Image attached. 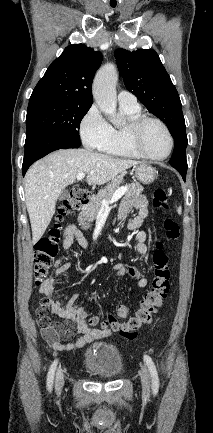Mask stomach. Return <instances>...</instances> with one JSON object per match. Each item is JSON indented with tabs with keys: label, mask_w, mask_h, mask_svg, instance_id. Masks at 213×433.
Here are the masks:
<instances>
[{
	"label": "stomach",
	"mask_w": 213,
	"mask_h": 433,
	"mask_svg": "<svg viewBox=\"0 0 213 433\" xmlns=\"http://www.w3.org/2000/svg\"><path fill=\"white\" fill-rule=\"evenodd\" d=\"M134 171L137 179L143 184L152 183L155 180L157 174V171L153 167L146 164H141L137 167H134Z\"/></svg>",
	"instance_id": "1"
}]
</instances>
